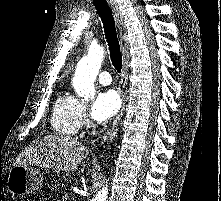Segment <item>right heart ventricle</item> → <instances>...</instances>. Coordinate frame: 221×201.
Returning a JSON list of instances; mask_svg holds the SVG:
<instances>
[{
	"label": "right heart ventricle",
	"instance_id": "right-heart-ventricle-1",
	"mask_svg": "<svg viewBox=\"0 0 221 201\" xmlns=\"http://www.w3.org/2000/svg\"><path fill=\"white\" fill-rule=\"evenodd\" d=\"M80 102L69 95H60L53 106L51 124L53 129L61 135L72 136L80 127Z\"/></svg>",
	"mask_w": 221,
	"mask_h": 201
}]
</instances>
